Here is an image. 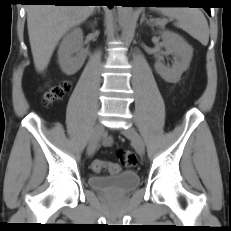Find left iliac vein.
I'll list each match as a JSON object with an SVG mask.
<instances>
[{
  "mask_svg": "<svg viewBox=\"0 0 231 231\" xmlns=\"http://www.w3.org/2000/svg\"><path fill=\"white\" fill-rule=\"evenodd\" d=\"M122 133L124 136L132 140L139 154L141 155L144 154V151H145L144 142L135 128L127 127L122 130Z\"/></svg>",
  "mask_w": 231,
  "mask_h": 231,
  "instance_id": "obj_1",
  "label": "left iliac vein"
}]
</instances>
